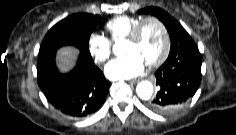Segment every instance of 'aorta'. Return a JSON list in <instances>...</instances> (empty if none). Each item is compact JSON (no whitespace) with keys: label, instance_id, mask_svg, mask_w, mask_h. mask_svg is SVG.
Returning <instances> with one entry per match:
<instances>
[{"label":"aorta","instance_id":"1","mask_svg":"<svg viewBox=\"0 0 236 135\" xmlns=\"http://www.w3.org/2000/svg\"><path fill=\"white\" fill-rule=\"evenodd\" d=\"M153 85L149 81H142L136 87V92L142 100H149L153 94Z\"/></svg>","mask_w":236,"mask_h":135}]
</instances>
